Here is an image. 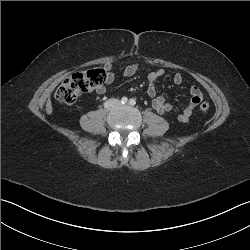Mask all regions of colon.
<instances>
[{
    "mask_svg": "<svg viewBox=\"0 0 250 250\" xmlns=\"http://www.w3.org/2000/svg\"><path fill=\"white\" fill-rule=\"evenodd\" d=\"M105 79V72L101 69L74 73L59 85L55 96L57 100L62 103L72 104L80 94L90 92L104 84ZM199 108L201 112L206 113L209 110L210 105L208 102H202Z\"/></svg>",
    "mask_w": 250,
    "mask_h": 250,
    "instance_id": "obj_1",
    "label": "colon"
}]
</instances>
